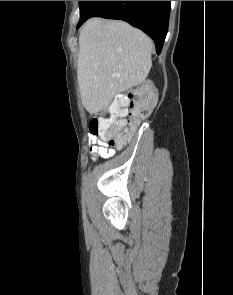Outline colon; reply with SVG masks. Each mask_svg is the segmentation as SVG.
Instances as JSON below:
<instances>
[{
  "mask_svg": "<svg viewBox=\"0 0 233 295\" xmlns=\"http://www.w3.org/2000/svg\"><path fill=\"white\" fill-rule=\"evenodd\" d=\"M154 103L151 85L142 83L126 94L116 96L104 116L93 118L89 123L90 133L110 147H122L151 113Z\"/></svg>",
  "mask_w": 233,
  "mask_h": 295,
  "instance_id": "5ec220e1",
  "label": "colon"
}]
</instances>
